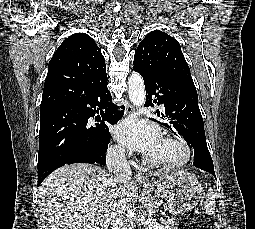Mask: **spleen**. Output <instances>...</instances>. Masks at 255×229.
I'll return each instance as SVG.
<instances>
[{
	"mask_svg": "<svg viewBox=\"0 0 255 229\" xmlns=\"http://www.w3.org/2000/svg\"><path fill=\"white\" fill-rule=\"evenodd\" d=\"M215 194L212 188H209L205 196V211L208 215H212L215 212Z\"/></svg>",
	"mask_w": 255,
	"mask_h": 229,
	"instance_id": "3e777b00",
	"label": "spleen"
}]
</instances>
